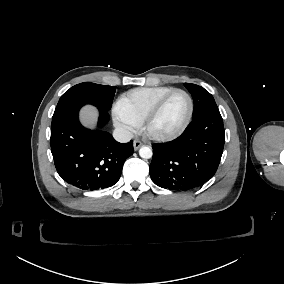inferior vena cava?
Instances as JSON below:
<instances>
[{"label":"inferior vena cava","instance_id":"1","mask_svg":"<svg viewBox=\"0 0 284 284\" xmlns=\"http://www.w3.org/2000/svg\"><path fill=\"white\" fill-rule=\"evenodd\" d=\"M113 135L114 138L121 143H126L133 139V134L123 127L116 128Z\"/></svg>","mask_w":284,"mask_h":284}]
</instances>
